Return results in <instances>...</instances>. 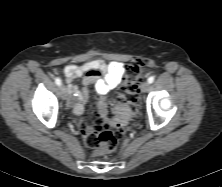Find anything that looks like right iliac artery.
I'll use <instances>...</instances> for the list:
<instances>
[{"label":"right iliac artery","instance_id":"1","mask_svg":"<svg viewBox=\"0 0 222 187\" xmlns=\"http://www.w3.org/2000/svg\"><path fill=\"white\" fill-rule=\"evenodd\" d=\"M55 83L58 85V86H60L61 85V79L60 78H56L55 79Z\"/></svg>","mask_w":222,"mask_h":187}]
</instances>
